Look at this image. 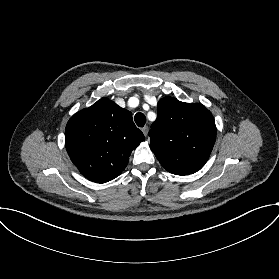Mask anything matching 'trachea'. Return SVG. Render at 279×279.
Segmentation results:
<instances>
[{"label":"trachea","instance_id":"obj_1","mask_svg":"<svg viewBox=\"0 0 279 279\" xmlns=\"http://www.w3.org/2000/svg\"><path fill=\"white\" fill-rule=\"evenodd\" d=\"M135 122L137 126L143 127L146 123V117L143 113L139 112L135 115Z\"/></svg>","mask_w":279,"mask_h":279}]
</instances>
